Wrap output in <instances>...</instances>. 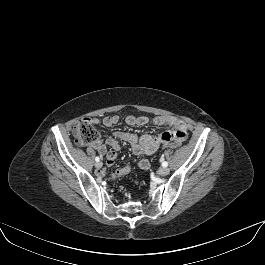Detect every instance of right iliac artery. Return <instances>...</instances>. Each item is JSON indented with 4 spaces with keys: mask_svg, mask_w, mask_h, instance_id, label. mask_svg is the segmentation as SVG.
I'll list each match as a JSON object with an SVG mask.
<instances>
[{
    "mask_svg": "<svg viewBox=\"0 0 265 265\" xmlns=\"http://www.w3.org/2000/svg\"><path fill=\"white\" fill-rule=\"evenodd\" d=\"M100 160L99 157H95V161L98 162Z\"/></svg>",
    "mask_w": 265,
    "mask_h": 265,
    "instance_id": "1",
    "label": "right iliac artery"
}]
</instances>
